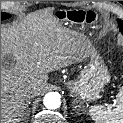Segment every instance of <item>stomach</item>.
<instances>
[{
    "label": "stomach",
    "mask_w": 123,
    "mask_h": 123,
    "mask_svg": "<svg viewBox=\"0 0 123 123\" xmlns=\"http://www.w3.org/2000/svg\"><path fill=\"white\" fill-rule=\"evenodd\" d=\"M60 22H67L74 27H84L87 23L86 12L77 9L57 10L54 13ZM89 62L81 71L79 77L68 81V90L78 96L83 102H92L99 98L103 87L110 81L107 66L96 51L87 53Z\"/></svg>",
    "instance_id": "obj_1"
}]
</instances>
